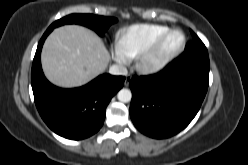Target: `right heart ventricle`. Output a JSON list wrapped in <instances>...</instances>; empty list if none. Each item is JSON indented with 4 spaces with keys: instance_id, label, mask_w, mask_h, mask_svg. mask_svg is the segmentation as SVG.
<instances>
[{
    "instance_id": "1",
    "label": "right heart ventricle",
    "mask_w": 248,
    "mask_h": 165,
    "mask_svg": "<svg viewBox=\"0 0 248 165\" xmlns=\"http://www.w3.org/2000/svg\"><path fill=\"white\" fill-rule=\"evenodd\" d=\"M168 29L159 24L129 26L120 32L117 47L128 59L136 58L158 35Z\"/></svg>"
}]
</instances>
